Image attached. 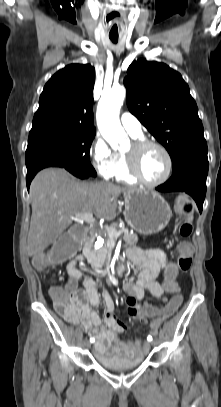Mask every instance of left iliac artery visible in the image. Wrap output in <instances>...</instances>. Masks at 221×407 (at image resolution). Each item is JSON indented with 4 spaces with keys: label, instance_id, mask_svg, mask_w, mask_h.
<instances>
[{
    "label": "left iliac artery",
    "instance_id": "44dca946",
    "mask_svg": "<svg viewBox=\"0 0 221 407\" xmlns=\"http://www.w3.org/2000/svg\"><path fill=\"white\" fill-rule=\"evenodd\" d=\"M153 335H155V333H153ZM148 340L152 341V336H148Z\"/></svg>",
    "mask_w": 221,
    "mask_h": 407
}]
</instances>
